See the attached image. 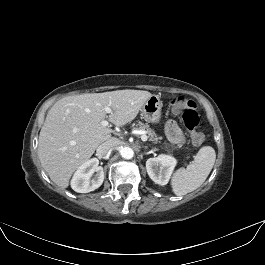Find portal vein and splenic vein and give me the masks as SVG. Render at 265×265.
<instances>
[{
  "label": "portal vein and splenic vein",
  "instance_id": "obj_1",
  "mask_svg": "<svg viewBox=\"0 0 265 265\" xmlns=\"http://www.w3.org/2000/svg\"><path fill=\"white\" fill-rule=\"evenodd\" d=\"M104 110L108 114H110L112 112V109L110 107H105ZM101 125L104 126V127H107L109 125V123H108L107 120H103V121H101ZM141 134H142L141 135V140L144 141V142L147 141L148 137L146 135V131H143Z\"/></svg>",
  "mask_w": 265,
  "mask_h": 265
}]
</instances>
